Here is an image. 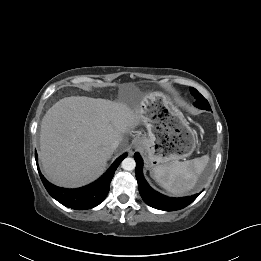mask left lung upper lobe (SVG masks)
<instances>
[{
  "instance_id": "5c2ea615",
  "label": "left lung upper lobe",
  "mask_w": 261,
  "mask_h": 261,
  "mask_svg": "<svg viewBox=\"0 0 261 261\" xmlns=\"http://www.w3.org/2000/svg\"><path fill=\"white\" fill-rule=\"evenodd\" d=\"M190 92L196 99L194 105L200 109H205L210 111L211 107L208 103V101L193 87H190Z\"/></svg>"
}]
</instances>
